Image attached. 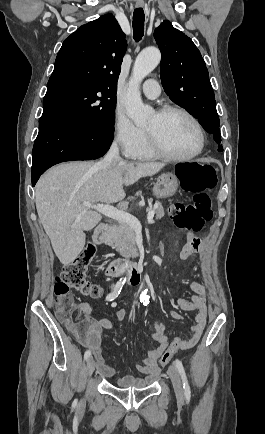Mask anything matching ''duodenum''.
<instances>
[{
  "mask_svg": "<svg viewBox=\"0 0 265 434\" xmlns=\"http://www.w3.org/2000/svg\"><path fill=\"white\" fill-rule=\"evenodd\" d=\"M115 231V227L101 224L95 228L92 241L97 244L103 243L104 239ZM105 272L118 278L124 276L130 284H140L144 280L141 265L120 259L110 260L105 267Z\"/></svg>",
  "mask_w": 265,
  "mask_h": 434,
  "instance_id": "obj_1",
  "label": "duodenum"
}]
</instances>
